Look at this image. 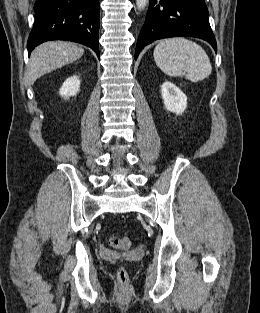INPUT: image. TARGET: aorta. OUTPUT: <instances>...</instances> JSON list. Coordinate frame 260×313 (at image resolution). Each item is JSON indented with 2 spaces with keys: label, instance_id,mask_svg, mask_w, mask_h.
Segmentation results:
<instances>
[{
  "label": "aorta",
  "instance_id": "762f6f07",
  "mask_svg": "<svg viewBox=\"0 0 260 313\" xmlns=\"http://www.w3.org/2000/svg\"><path fill=\"white\" fill-rule=\"evenodd\" d=\"M148 1H149V0H136L137 8H138L139 10H143V9L146 7Z\"/></svg>",
  "mask_w": 260,
  "mask_h": 313
}]
</instances>
